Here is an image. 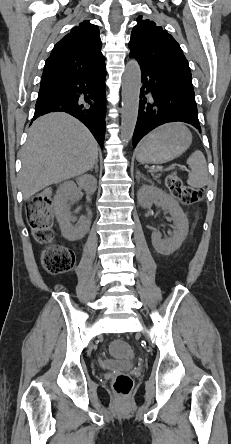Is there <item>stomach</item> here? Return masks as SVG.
I'll use <instances>...</instances> for the list:
<instances>
[{
    "label": "stomach",
    "instance_id": "1",
    "mask_svg": "<svg viewBox=\"0 0 231 444\" xmlns=\"http://www.w3.org/2000/svg\"><path fill=\"white\" fill-rule=\"evenodd\" d=\"M191 142V132L183 124H166L154 130L139 143L136 158L141 163H166L183 154Z\"/></svg>",
    "mask_w": 231,
    "mask_h": 444
}]
</instances>
